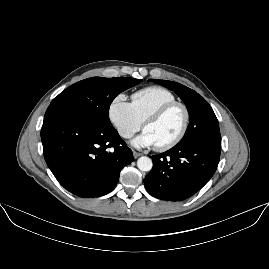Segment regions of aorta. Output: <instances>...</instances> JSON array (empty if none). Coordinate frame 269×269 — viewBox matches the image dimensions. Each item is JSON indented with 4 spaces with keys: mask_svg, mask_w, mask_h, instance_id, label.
I'll return each instance as SVG.
<instances>
[{
    "mask_svg": "<svg viewBox=\"0 0 269 269\" xmlns=\"http://www.w3.org/2000/svg\"><path fill=\"white\" fill-rule=\"evenodd\" d=\"M137 167L140 171L148 172L152 169V160L147 156H142L137 160Z\"/></svg>",
    "mask_w": 269,
    "mask_h": 269,
    "instance_id": "obj_1",
    "label": "aorta"
}]
</instances>
